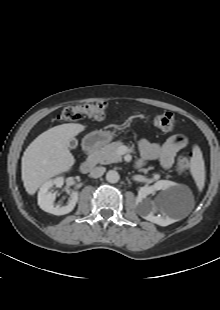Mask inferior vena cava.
<instances>
[{"label": "inferior vena cava", "mask_w": 220, "mask_h": 310, "mask_svg": "<svg viewBox=\"0 0 220 310\" xmlns=\"http://www.w3.org/2000/svg\"><path fill=\"white\" fill-rule=\"evenodd\" d=\"M105 171H106L105 167H95L91 170L90 176L92 178H99L104 174Z\"/></svg>", "instance_id": "obj_1"}]
</instances>
